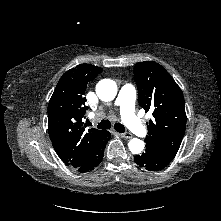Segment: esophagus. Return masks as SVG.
Returning <instances> with one entry per match:
<instances>
[{
  "label": "esophagus",
  "instance_id": "34e87169",
  "mask_svg": "<svg viewBox=\"0 0 221 221\" xmlns=\"http://www.w3.org/2000/svg\"><path fill=\"white\" fill-rule=\"evenodd\" d=\"M119 136L123 137V138H126V139H129L132 137L131 133H117Z\"/></svg>",
  "mask_w": 221,
  "mask_h": 221
}]
</instances>
